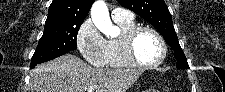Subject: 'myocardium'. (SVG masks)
I'll return each mask as SVG.
<instances>
[{
	"mask_svg": "<svg viewBox=\"0 0 225 92\" xmlns=\"http://www.w3.org/2000/svg\"><path fill=\"white\" fill-rule=\"evenodd\" d=\"M142 31H148L152 33L158 40L160 46H161V56L159 60H157L154 63L145 64L141 62L137 56L134 53V42L137 37V35ZM119 48L121 52V56L124 60V62L134 68H140V69H150V68H156L163 64V62L166 59L167 56V45L162 37V35L153 27L147 26V25H139L134 26L131 29L127 30L120 38L119 40Z\"/></svg>",
	"mask_w": 225,
	"mask_h": 92,
	"instance_id": "1",
	"label": "myocardium"
}]
</instances>
